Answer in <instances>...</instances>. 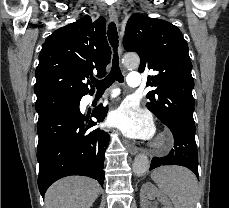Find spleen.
<instances>
[{
  "mask_svg": "<svg viewBox=\"0 0 229 208\" xmlns=\"http://www.w3.org/2000/svg\"><path fill=\"white\" fill-rule=\"evenodd\" d=\"M151 178L168 196L174 208H196L200 198L197 180L187 168L181 166H162L151 174Z\"/></svg>",
  "mask_w": 229,
  "mask_h": 208,
  "instance_id": "1",
  "label": "spleen"
}]
</instances>
